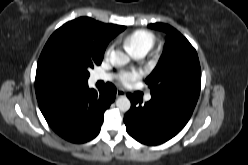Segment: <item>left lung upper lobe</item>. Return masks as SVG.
Segmentation results:
<instances>
[{
  "mask_svg": "<svg viewBox=\"0 0 248 165\" xmlns=\"http://www.w3.org/2000/svg\"><path fill=\"white\" fill-rule=\"evenodd\" d=\"M148 26L168 34L160 60L146 79L152 97L196 104L201 84V69L196 50L172 26L163 23Z\"/></svg>",
  "mask_w": 248,
  "mask_h": 165,
  "instance_id": "left-lung-upper-lobe-1",
  "label": "left lung upper lobe"
}]
</instances>
